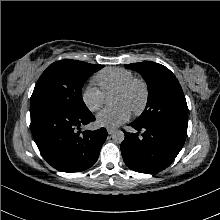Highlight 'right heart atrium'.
Returning <instances> with one entry per match:
<instances>
[{
	"mask_svg": "<svg viewBox=\"0 0 220 220\" xmlns=\"http://www.w3.org/2000/svg\"><path fill=\"white\" fill-rule=\"evenodd\" d=\"M81 99L88 110L96 112L104 105L105 95L99 88L89 85L82 89Z\"/></svg>",
	"mask_w": 220,
	"mask_h": 220,
	"instance_id": "right-heart-atrium-1",
	"label": "right heart atrium"
}]
</instances>
